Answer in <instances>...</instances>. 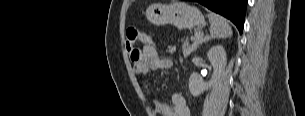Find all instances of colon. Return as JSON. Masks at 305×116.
I'll use <instances>...</instances> for the list:
<instances>
[{"instance_id": "obj_1", "label": "colon", "mask_w": 305, "mask_h": 116, "mask_svg": "<svg viewBox=\"0 0 305 116\" xmlns=\"http://www.w3.org/2000/svg\"><path fill=\"white\" fill-rule=\"evenodd\" d=\"M148 41L149 38L142 34L137 28L131 26L127 29L125 46L131 58H136L138 55V50L135 49V44L137 42L146 43Z\"/></svg>"}]
</instances>
